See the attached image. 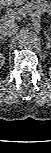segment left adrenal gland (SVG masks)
<instances>
[{"mask_svg": "<svg viewBox=\"0 0 51 153\" xmlns=\"http://www.w3.org/2000/svg\"><path fill=\"white\" fill-rule=\"evenodd\" d=\"M46 38H47V41H48L47 45H48V47H50V36H49V34H46Z\"/></svg>", "mask_w": 51, "mask_h": 153, "instance_id": "obj_1", "label": "left adrenal gland"}]
</instances>
